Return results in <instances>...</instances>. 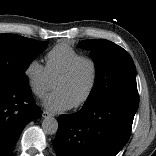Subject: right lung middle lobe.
I'll list each match as a JSON object with an SVG mask.
<instances>
[{
    "instance_id": "obj_1",
    "label": "right lung middle lobe",
    "mask_w": 156,
    "mask_h": 156,
    "mask_svg": "<svg viewBox=\"0 0 156 156\" xmlns=\"http://www.w3.org/2000/svg\"><path fill=\"white\" fill-rule=\"evenodd\" d=\"M47 45L15 34H0V84L29 87L25 71Z\"/></svg>"
}]
</instances>
